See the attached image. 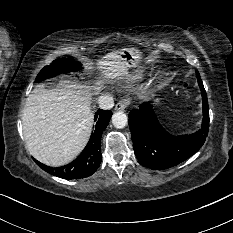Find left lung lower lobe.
<instances>
[{
  "instance_id": "obj_1",
  "label": "left lung lower lobe",
  "mask_w": 233,
  "mask_h": 233,
  "mask_svg": "<svg viewBox=\"0 0 233 233\" xmlns=\"http://www.w3.org/2000/svg\"><path fill=\"white\" fill-rule=\"evenodd\" d=\"M203 98L201 130L191 135L172 136L159 124L150 103L145 102L129 113L133 148L141 164L153 170L171 168L194 155L204 144L209 129V107L206 91L198 72Z\"/></svg>"
}]
</instances>
